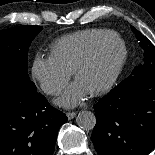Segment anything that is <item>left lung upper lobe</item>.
I'll use <instances>...</instances> for the list:
<instances>
[{"label": "left lung upper lobe", "mask_w": 155, "mask_h": 155, "mask_svg": "<svg viewBox=\"0 0 155 155\" xmlns=\"http://www.w3.org/2000/svg\"><path fill=\"white\" fill-rule=\"evenodd\" d=\"M131 29L133 33L136 34V38L139 41V45L143 48L144 53H143L142 64L137 66L135 69H133L129 77L143 73L152 68L155 69V47L154 45L146 37H144L138 30H136L133 26H131Z\"/></svg>", "instance_id": "obj_1"}]
</instances>
